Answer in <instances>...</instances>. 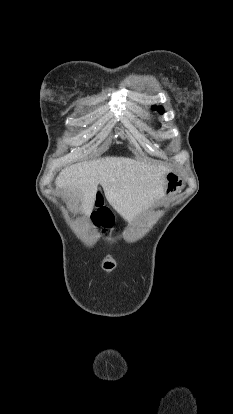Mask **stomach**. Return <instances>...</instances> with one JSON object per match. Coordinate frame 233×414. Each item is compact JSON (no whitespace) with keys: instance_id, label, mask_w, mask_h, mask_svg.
<instances>
[{"instance_id":"1","label":"stomach","mask_w":233,"mask_h":414,"mask_svg":"<svg viewBox=\"0 0 233 414\" xmlns=\"http://www.w3.org/2000/svg\"><path fill=\"white\" fill-rule=\"evenodd\" d=\"M166 184L164 188V195H172L184 185L179 173L176 170H169L165 176Z\"/></svg>"}]
</instances>
